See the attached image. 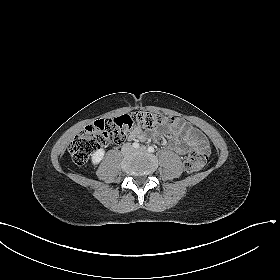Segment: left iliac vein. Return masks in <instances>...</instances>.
<instances>
[{
  "mask_svg": "<svg viewBox=\"0 0 280 280\" xmlns=\"http://www.w3.org/2000/svg\"><path fill=\"white\" fill-rule=\"evenodd\" d=\"M135 151L146 152V147L145 146H141L138 150H135Z\"/></svg>",
  "mask_w": 280,
  "mask_h": 280,
  "instance_id": "obj_1",
  "label": "left iliac vein"
}]
</instances>
